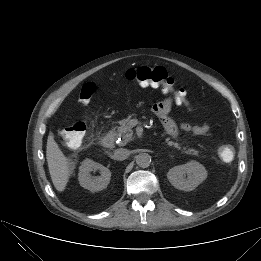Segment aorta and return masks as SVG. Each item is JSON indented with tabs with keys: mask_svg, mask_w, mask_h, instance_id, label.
I'll return each mask as SVG.
<instances>
[{
	"mask_svg": "<svg viewBox=\"0 0 261 261\" xmlns=\"http://www.w3.org/2000/svg\"><path fill=\"white\" fill-rule=\"evenodd\" d=\"M136 164L141 168H147L151 164V156L148 153H140L136 157Z\"/></svg>",
	"mask_w": 261,
	"mask_h": 261,
	"instance_id": "762f6f07",
	"label": "aorta"
}]
</instances>
